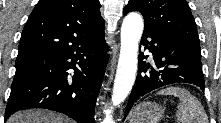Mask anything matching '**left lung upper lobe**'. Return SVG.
<instances>
[{"mask_svg": "<svg viewBox=\"0 0 221 123\" xmlns=\"http://www.w3.org/2000/svg\"><path fill=\"white\" fill-rule=\"evenodd\" d=\"M131 11L143 15L145 28L200 46L196 23L185 0H129L124 14Z\"/></svg>", "mask_w": 221, "mask_h": 123, "instance_id": "1", "label": "left lung upper lobe"}]
</instances>
